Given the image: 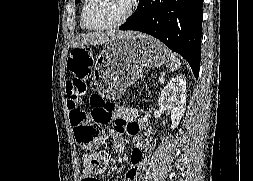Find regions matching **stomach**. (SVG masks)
Wrapping results in <instances>:
<instances>
[{"mask_svg": "<svg viewBox=\"0 0 253 181\" xmlns=\"http://www.w3.org/2000/svg\"><path fill=\"white\" fill-rule=\"evenodd\" d=\"M168 60V49L146 34L109 40L96 60L97 90L106 99H118L142 76L143 67H160Z\"/></svg>", "mask_w": 253, "mask_h": 181, "instance_id": "0dacf381", "label": "stomach"}]
</instances>
